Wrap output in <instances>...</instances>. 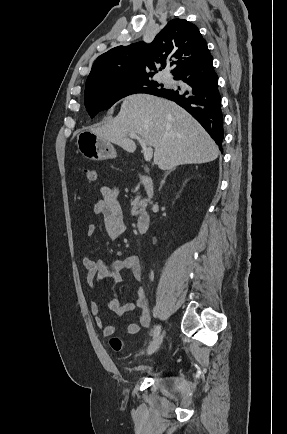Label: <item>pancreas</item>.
<instances>
[{"instance_id": "pancreas-1", "label": "pancreas", "mask_w": 287, "mask_h": 434, "mask_svg": "<svg viewBox=\"0 0 287 434\" xmlns=\"http://www.w3.org/2000/svg\"><path fill=\"white\" fill-rule=\"evenodd\" d=\"M145 202L142 200L141 196H137L131 203V214L133 216H137L142 212V207Z\"/></svg>"}]
</instances>
